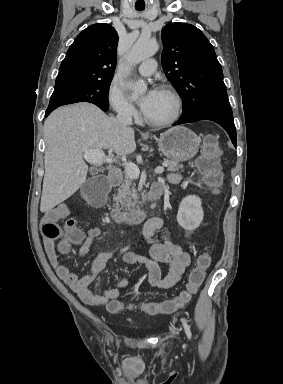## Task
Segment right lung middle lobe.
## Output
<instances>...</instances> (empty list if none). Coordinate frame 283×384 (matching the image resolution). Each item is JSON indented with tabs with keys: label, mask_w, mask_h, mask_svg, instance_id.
I'll use <instances>...</instances> for the list:
<instances>
[{
	"label": "right lung middle lobe",
	"mask_w": 283,
	"mask_h": 384,
	"mask_svg": "<svg viewBox=\"0 0 283 384\" xmlns=\"http://www.w3.org/2000/svg\"><path fill=\"white\" fill-rule=\"evenodd\" d=\"M112 79L69 83L55 86L48 108L76 102H90L98 107L108 108V93Z\"/></svg>",
	"instance_id": "obj_1"
}]
</instances>
